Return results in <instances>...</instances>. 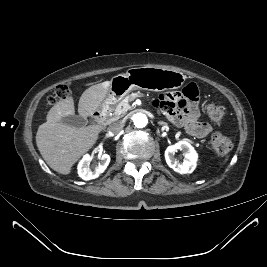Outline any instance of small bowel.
I'll return each instance as SVG.
<instances>
[{
	"instance_id": "c3829d8e",
	"label": "small bowel",
	"mask_w": 267,
	"mask_h": 267,
	"mask_svg": "<svg viewBox=\"0 0 267 267\" xmlns=\"http://www.w3.org/2000/svg\"><path fill=\"white\" fill-rule=\"evenodd\" d=\"M155 106L166 114L175 124L184 126L188 133L197 138L208 136L212 127L199 120L198 88L190 83L182 91L160 94Z\"/></svg>"
}]
</instances>
